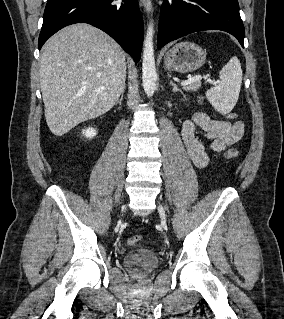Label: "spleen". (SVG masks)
I'll use <instances>...</instances> for the list:
<instances>
[{"label": "spleen", "mask_w": 284, "mask_h": 319, "mask_svg": "<svg viewBox=\"0 0 284 319\" xmlns=\"http://www.w3.org/2000/svg\"><path fill=\"white\" fill-rule=\"evenodd\" d=\"M241 83V64L234 56L219 71L218 85L207 90L206 98L216 111L227 114L234 108L238 100Z\"/></svg>", "instance_id": "spleen-1"}]
</instances>
